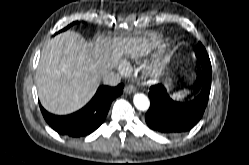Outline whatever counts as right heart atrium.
<instances>
[{"mask_svg":"<svg viewBox=\"0 0 249 165\" xmlns=\"http://www.w3.org/2000/svg\"><path fill=\"white\" fill-rule=\"evenodd\" d=\"M116 66L122 73L127 72V67L123 62H116Z\"/></svg>","mask_w":249,"mask_h":165,"instance_id":"d8ad5b80","label":"right heart atrium"}]
</instances>
